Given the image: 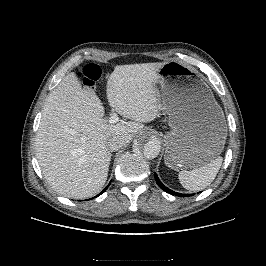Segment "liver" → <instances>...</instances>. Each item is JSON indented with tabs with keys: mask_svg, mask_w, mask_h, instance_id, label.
<instances>
[{
	"mask_svg": "<svg viewBox=\"0 0 266 266\" xmlns=\"http://www.w3.org/2000/svg\"><path fill=\"white\" fill-rule=\"evenodd\" d=\"M165 63L119 65L107 81L109 105L130 121L110 123L96 93L82 88L76 73L66 75L47 97L36 135L43 176L59 194L82 199L99 193L108 176L107 141L129 143L162 109L155 86Z\"/></svg>",
	"mask_w": 266,
	"mask_h": 266,
	"instance_id": "liver-1",
	"label": "liver"
}]
</instances>
